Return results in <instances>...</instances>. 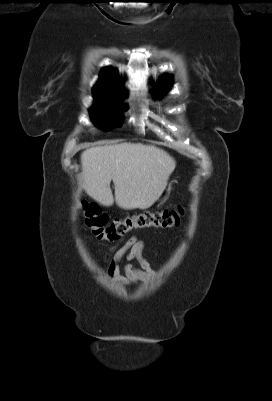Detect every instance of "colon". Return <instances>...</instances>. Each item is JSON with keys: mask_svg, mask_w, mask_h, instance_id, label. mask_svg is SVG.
Returning a JSON list of instances; mask_svg holds the SVG:
<instances>
[{"mask_svg": "<svg viewBox=\"0 0 272 401\" xmlns=\"http://www.w3.org/2000/svg\"><path fill=\"white\" fill-rule=\"evenodd\" d=\"M181 210L153 209L110 220L95 203H84L86 225L93 235L104 241H116L128 233L145 228H171L179 223Z\"/></svg>", "mask_w": 272, "mask_h": 401, "instance_id": "colon-1", "label": "colon"}]
</instances>
